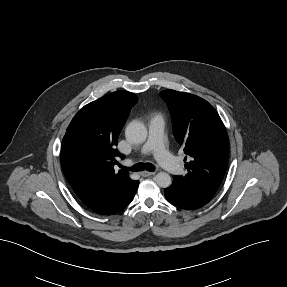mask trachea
I'll use <instances>...</instances> for the list:
<instances>
[{
	"label": "trachea",
	"instance_id": "3493384b",
	"mask_svg": "<svg viewBox=\"0 0 287 287\" xmlns=\"http://www.w3.org/2000/svg\"><path fill=\"white\" fill-rule=\"evenodd\" d=\"M121 169L123 171H149V172H153L155 170V167L153 164L151 163H137L135 165H133L132 167H125V166H121Z\"/></svg>",
	"mask_w": 287,
	"mask_h": 287
}]
</instances>
